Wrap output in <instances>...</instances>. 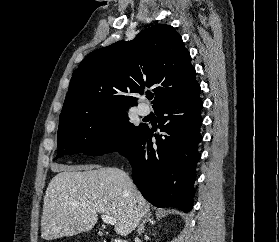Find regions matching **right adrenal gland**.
Listing matches in <instances>:
<instances>
[{"label": "right adrenal gland", "mask_w": 279, "mask_h": 242, "mask_svg": "<svg viewBox=\"0 0 279 242\" xmlns=\"http://www.w3.org/2000/svg\"><path fill=\"white\" fill-rule=\"evenodd\" d=\"M151 213H148L146 216H145V218H144V220L142 221V223L138 226V229H137V233H138V235L140 236L142 233H143V231H144V225H145V223H150L151 225H153V224H155L156 222H155V220H153V218H151Z\"/></svg>", "instance_id": "obj_1"}]
</instances>
